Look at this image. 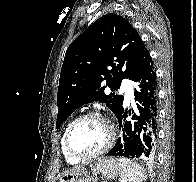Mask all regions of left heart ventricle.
<instances>
[{
	"label": "left heart ventricle",
	"instance_id": "b2bd125f",
	"mask_svg": "<svg viewBox=\"0 0 196 182\" xmlns=\"http://www.w3.org/2000/svg\"><path fill=\"white\" fill-rule=\"evenodd\" d=\"M106 127L96 118H88L76 125L70 136V145L80 154H92L98 151L106 141Z\"/></svg>",
	"mask_w": 196,
	"mask_h": 182
}]
</instances>
